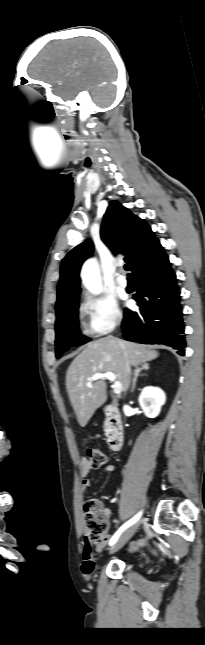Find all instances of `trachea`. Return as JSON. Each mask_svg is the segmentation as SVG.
<instances>
[{
	"instance_id": "trachea-1",
	"label": "trachea",
	"mask_w": 205,
	"mask_h": 645,
	"mask_svg": "<svg viewBox=\"0 0 205 645\" xmlns=\"http://www.w3.org/2000/svg\"><path fill=\"white\" fill-rule=\"evenodd\" d=\"M124 268H125L126 271H129L131 269V265L130 264H125ZM128 275H130V274H128Z\"/></svg>"
}]
</instances>
